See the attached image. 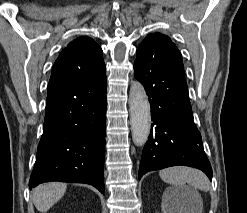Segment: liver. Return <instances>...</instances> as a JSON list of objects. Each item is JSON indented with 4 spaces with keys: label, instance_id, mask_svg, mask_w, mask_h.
<instances>
[{
    "label": "liver",
    "instance_id": "liver-1",
    "mask_svg": "<svg viewBox=\"0 0 247 213\" xmlns=\"http://www.w3.org/2000/svg\"><path fill=\"white\" fill-rule=\"evenodd\" d=\"M66 188L67 185L60 182H51L34 188L32 199L36 209L42 213L47 212L63 197Z\"/></svg>",
    "mask_w": 247,
    "mask_h": 213
}]
</instances>
